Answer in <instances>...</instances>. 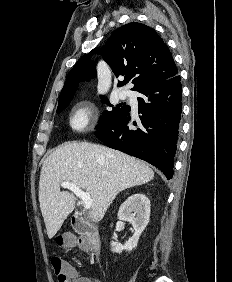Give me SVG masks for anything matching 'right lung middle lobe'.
Masks as SVG:
<instances>
[{
    "instance_id": "1",
    "label": "right lung middle lobe",
    "mask_w": 232,
    "mask_h": 282,
    "mask_svg": "<svg viewBox=\"0 0 232 282\" xmlns=\"http://www.w3.org/2000/svg\"><path fill=\"white\" fill-rule=\"evenodd\" d=\"M74 95L69 96L67 98H64L62 100H59L58 103V107H57V112H61L64 108L67 107V105L70 103V101L72 100ZM102 101L106 104H108L109 106H112L109 101L105 98H102ZM129 106L126 104H119L116 107H113L112 111H104L103 112V116L97 126V128H101L104 125H106L108 122H110L111 120L119 117L121 114H123L124 112H126L128 110Z\"/></svg>"
}]
</instances>
